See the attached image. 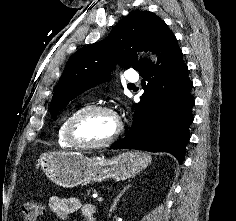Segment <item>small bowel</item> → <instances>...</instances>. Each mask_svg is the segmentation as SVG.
<instances>
[{"instance_id":"obj_1","label":"small bowel","mask_w":236,"mask_h":221,"mask_svg":"<svg viewBox=\"0 0 236 221\" xmlns=\"http://www.w3.org/2000/svg\"><path fill=\"white\" fill-rule=\"evenodd\" d=\"M49 209L60 221H67L69 215L75 213L79 209L82 210L83 215L88 221L89 218L93 217L96 212V208L93 204H83L80 199L76 197L52 196L49 199Z\"/></svg>"}]
</instances>
